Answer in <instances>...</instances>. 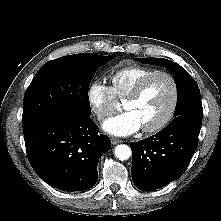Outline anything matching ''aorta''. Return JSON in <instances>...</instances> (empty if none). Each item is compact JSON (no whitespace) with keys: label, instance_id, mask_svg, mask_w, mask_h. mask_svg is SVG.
<instances>
[{"label":"aorta","instance_id":"obj_1","mask_svg":"<svg viewBox=\"0 0 221 221\" xmlns=\"http://www.w3.org/2000/svg\"><path fill=\"white\" fill-rule=\"evenodd\" d=\"M114 153L115 156L121 161L129 159L132 154L130 147L125 144L117 145Z\"/></svg>","mask_w":221,"mask_h":221}]
</instances>
